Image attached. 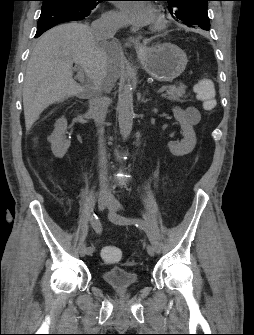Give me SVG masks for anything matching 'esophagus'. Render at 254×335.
<instances>
[{
  "mask_svg": "<svg viewBox=\"0 0 254 335\" xmlns=\"http://www.w3.org/2000/svg\"><path fill=\"white\" fill-rule=\"evenodd\" d=\"M128 41L134 43L139 50H144L145 49V47L135 37H130L128 39ZM126 45H128V43H126Z\"/></svg>",
  "mask_w": 254,
  "mask_h": 335,
  "instance_id": "34e87169",
  "label": "esophagus"
}]
</instances>
